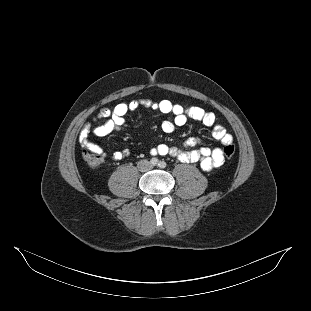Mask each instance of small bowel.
<instances>
[{"instance_id": "small-bowel-1", "label": "small bowel", "mask_w": 311, "mask_h": 311, "mask_svg": "<svg viewBox=\"0 0 311 311\" xmlns=\"http://www.w3.org/2000/svg\"><path fill=\"white\" fill-rule=\"evenodd\" d=\"M140 106L153 107L162 113L173 115L172 120H166L161 125V128L165 133H172L177 127L183 126L188 119H193L200 121L209 127L211 136L220 141L222 144L232 142V136L227 133L222 125L216 123V118L213 113L207 112L197 106L185 107L180 104L173 103L170 100L163 99L157 103L149 100H133L128 103H119L113 109H101L97 116L93 119V122L86 123L81 130L79 141L82 147L101 154L103 152L101 147L89 141V137L91 135L104 137L114 130L123 129L126 125L124 119L125 115L129 112L137 110ZM99 119H105L106 121L101 125H96L95 123ZM199 143L200 140L198 138L192 137L185 142V146L188 147V149L182 150L175 146L160 144L154 148H151L149 152L151 155H169L178 158L184 163L199 162L201 168L205 171H211L217 167H220L224 163V154L220 148H193ZM127 155V150H120L114 152L112 157L116 160H120Z\"/></svg>"}]
</instances>
